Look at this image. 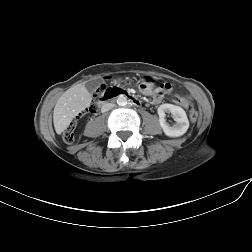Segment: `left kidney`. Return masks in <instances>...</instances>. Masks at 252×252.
Listing matches in <instances>:
<instances>
[{
  "label": "left kidney",
  "mask_w": 252,
  "mask_h": 252,
  "mask_svg": "<svg viewBox=\"0 0 252 252\" xmlns=\"http://www.w3.org/2000/svg\"><path fill=\"white\" fill-rule=\"evenodd\" d=\"M159 123L164 133L169 137H179L186 133L189 128V121L186 112L179 106L173 104H162L157 109ZM166 113H171L176 124L169 126L165 120Z\"/></svg>",
  "instance_id": "5707ae66"
}]
</instances>
